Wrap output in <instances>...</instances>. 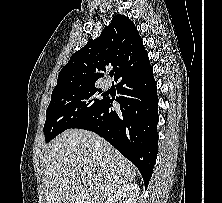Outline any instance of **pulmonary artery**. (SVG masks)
I'll return each instance as SVG.
<instances>
[{
    "instance_id": "e3ab8cb5",
    "label": "pulmonary artery",
    "mask_w": 222,
    "mask_h": 203,
    "mask_svg": "<svg viewBox=\"0 0 222 203\" xmlns=\"http://www.w3.org/2000/svg\"><path fill=\"white\" fill-rule=\"evenodd\" d=\"M110 86H111V82L108 79H105L103 82V87L105 89H108V88H110Z\"/></svg>"
}]
</instances>
